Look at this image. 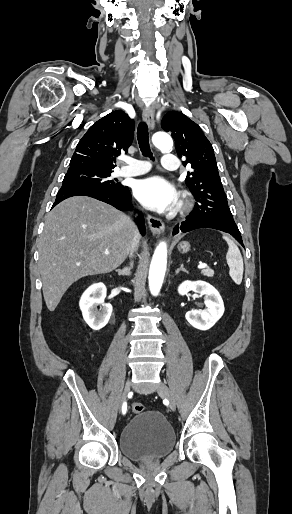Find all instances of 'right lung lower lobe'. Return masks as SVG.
<instances>
[{
	"mask_svg": "<svg viewBox=\"0 0 292 514\" xmlns=\"http://www.w3.org/2000/svg\"><path fill=\"white\" fill-rule=\"evenodd\" d=\"M72 196H89L100 201L106 202L115 208L123 211L132 210L131 193L128 187L122 186L117 189H106L88 185H63L58 191L56 200L52 208ZM139 214L135 218L139 230L142 235L145 234V224L143 214L137 211Z\"/></svg>",
	"mask_w": 292,
	"mask_h": 514,
	"instance_id": "right-lung-lower-lobe-1",
	"label": "right lung lower lobe"
}]
</instances>
